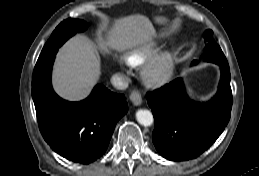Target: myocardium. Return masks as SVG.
Segmentation results:
<instances>
[{
    "mask_svg": "<svg viewBox=\"0 0 259 176\" xmlns=\"http://www.w3.org/2000/svg\"><path fill=\"white\" fill-rule=\"evenodd\" d=\"M177 57L173 51L150 63L143 72L145 83L152 87L168 84L174 77Z\"/></svg>",
    "mask_w": 259,
    "mask_h": 176,
    "instance_id": "obj_1",
    "label": "myocardium"
}]
</instances>
